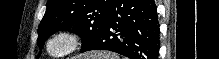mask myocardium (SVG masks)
Wrapping results in <instances>:
<instances>
[{"label":"myocardium","mask_w":219,"mask_h":59,"mask_svg":"<svg viewBox=\"0 0 219 59\" xmlns=\"http://www.w3.org/2000/svg\"><path fill=\"white\" fill-rule=\"evenodd\" d=\"M61 40L65 43V47L61 51H54L52 45L54 42ZM81 44L80 36L68 29L59 30L45 40L44 50L46 54L55 59L66 58L75 53Z\"/></svg>","instance_id":"obj_1"}]
</instances>
